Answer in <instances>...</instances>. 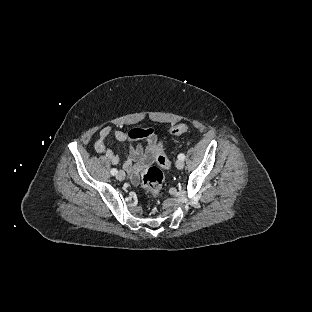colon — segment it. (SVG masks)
<instances>
[{"mask_svg": "<svg viewBox=\"0 0 312 312\" xmlns=\"http://www.w3.org/2000/svg\"><path fill=\"white\" fill-rule=\"evenodd\" d=\"M189 131V126L187 124L173 125L171 127V132L175 135H180L182 133H187ZM154 133V129L146 128L140 131V137H149ZM157 164L162 168H167L170 162L165 154H160L157 157ZM164 174L153 166L147 169L141 177V185L150 193L152 196L157 197L163 187Z\"/></svg>", "mask_w": 312, "mask_h": 312, "instance_id": "colon-1", "label": "colon"}]
</instances>
